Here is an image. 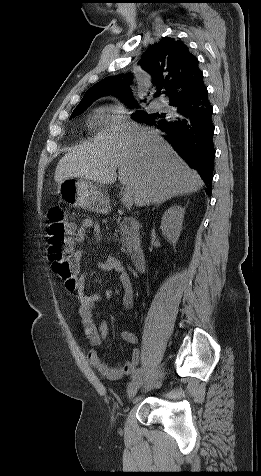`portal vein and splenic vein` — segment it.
<instances>
[{"instance_id":"18ae733b","label":"portal vein and splenic vein","mask_w":261,"mask_h":476,"mask_svg":"<svg viewBox=\"0 0 261 476\" xmlns=\"http://www.w3.org/2000/svg\"><path fill=\"white\" fill-rule=\"evenodd\" d=\"M121 201L125 207L127 208L132 207L133 197H132V193L128 189H125Z\"/></svg>"}]
</instances>
